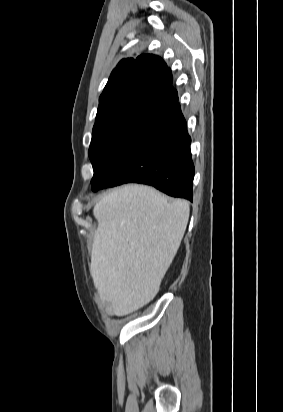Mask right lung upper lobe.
<instances>
[{
    "mask_svg": "<svg viewBox=\"0 0 283 412\" xmlns=\"http://www.w3.org/2000/svg\"><path fill=\"white\" fill-rule=\"evenodd\" d=\"M164 61L143 54L119 62L99 98L96 120L122 113H165L177 100L172 74L165 79Z\"/></svg>",
    "mask_w": 283,
    "mask_h": 412,
    "instance_id": "cb5924a9",
    "label": "right lung upper lobe"
}]
</instances>
